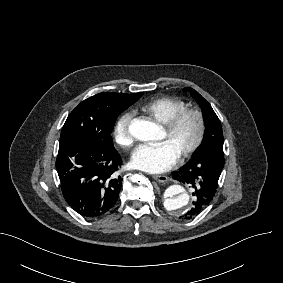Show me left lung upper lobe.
Returning a JSON list of instances; mask_svg holds the SVG:
<instances>
[{
  "instance_id": "left-lung-upper-lobe-1",
  "label": "left lung upper lobe",
  "mask_w": 283,
  "mask_h": 283,
  "mask_svg": "<svg viewBox=\"0 0 283 283\" xmlns=\"http://www.w3.org/2000/svg\"><path fill=\"white\" fill-rule=\"evenodd\" d=\"M192 97L200 105L206 126L204 139L194 154L199 153L208 145H223V132L221 123L211 105L194 89H189Z\"/></svg>"
}]
</instances>
